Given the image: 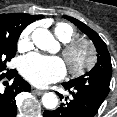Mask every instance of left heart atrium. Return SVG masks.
I'll list each match as a JSON object with an SVG mask.
<instances>
[{"instance_id": "left-heart-atrium-1", "label": "left heart atrium", "mask_w": 117, "mask_h": 117, "mask_svg": "<svg viewBox=\"0 0 117 117\" xmlns=\"http://www.w3.org/2000/svg\"><path fill=\"white\" fill-rule=\"evenodd\" d=\"M20 70L28 81L39 87L59 81L66 74L65 64L60 58L36 53L22 58Z\"/></svg>"}]
</instances>
